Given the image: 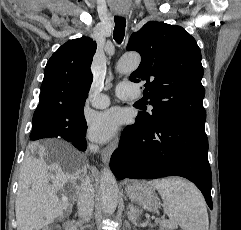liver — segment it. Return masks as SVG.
Here are the masks:
<instances>
[{"label":"liver","mask_w":241,"mask_h":230,"mask_svg":"<svg viewBox=\"0 0 241 230\" xmlns=\"http://www.w3.org/2000/svg\"><path fill=\"white\" fill-rule=\"evenodd\" d=\"M37 148L39 157L27 152L20 172L15 202L17 230H39L69 212L80 192L77 180L82 184L86 178L85 158L70 144L54 141L50 151L38 143L30 147L32 152ZM49 154L55 155L57 161L49 162ZM68 182L74 185L75 193L70 202L67 198L60 201L57 192Z\"/></svg>","instance_id":"1"}]
</instances>
